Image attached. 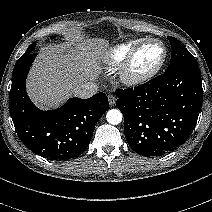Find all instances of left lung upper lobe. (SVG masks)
I'll use <instances>...</instances> for the list:
<instances>
[{
	"mask_svg": "<svg viewBox=\"0 0 212 212\" xmlns=\"http://www.w3.org/2000/svg\"><path fill=\"white\" fill-rule=\"evenodd\" d=\"M168 39L171 43L172 53L170 65L165 72L183 66L198 65L193 55L177 39L171 36H168Z\"/></svg>",
	"mask_w": 212,
	"mask_h": 212,
	"instance_id": "left-lung-upper-lobe-1",
	"label": "left lung upper lobe"
}]
</instances>
